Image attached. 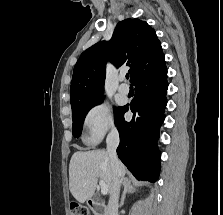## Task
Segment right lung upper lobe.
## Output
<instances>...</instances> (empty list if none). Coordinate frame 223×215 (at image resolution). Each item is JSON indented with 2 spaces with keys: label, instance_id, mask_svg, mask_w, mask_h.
<instances>
[{
  "label": "right lung upper lobe",
  "instance_id": "cb5924a9",
  "mask_svg": "<svg viewBox=\"0 0 223 215\" xmlns=\"http://www.w3.org/2000/svg\"><path fill=\"white\" fill-rule=\"evenodd\" d=\"M130 67L131 82L154 76L166 68L155 31L139 19L119 22L109 43L100 41L83 52L71 81V107L99 100L103 95L106 62Z\"/></svg>",
  "mask_w": 223,
  "mask_h": 215
}]
</instances>
